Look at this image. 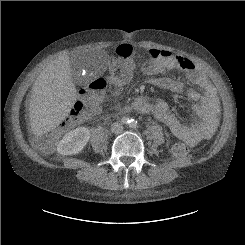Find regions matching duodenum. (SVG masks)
<instances>
[{
  "label": "duodenum",
  "mask_w": 245,
  "mask_h": 245,
  "mask_svg": "<svg viewBox=\"0 0 245 245\" xmlns=\"http://www.w3.org/2000/svg\"><path fill=\"white\" fill-rule=\"evenodd\" d=\"M121 113H122V114H126V113H127V111H126V110H124V111H122Z\"/></svg>",
  "instance_id": "410a0bca"
}]
</instances>
